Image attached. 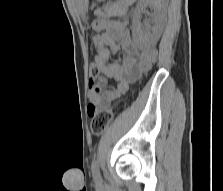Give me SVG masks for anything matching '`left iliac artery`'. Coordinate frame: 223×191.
I'll list each match as a JSON object with an SVG mask.
<instances>
[{
  "label": "left iliac artery",
  "instance_id": "44dca946",
  "mask_svg": "<svg viewBox=\"0 0 223 191\" xmlns=\"http://www.w3.org/2000/svg\"><path fill=\"white\" fill-rule=\"evenodd\" d=\"M91 171H92V175H93L94 179L97 182H100L101 176H100V172H99V166H98L97 160H95V159L92 162Z\"/></svg>",
  "mask_w": 223,
  "mask_h": 191
}]
</instances>
